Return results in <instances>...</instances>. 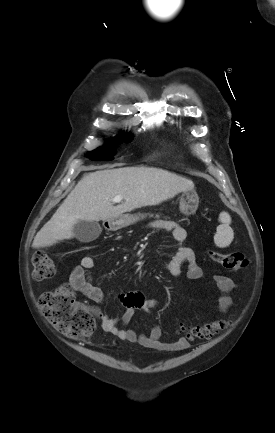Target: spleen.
Instances as JSON below:
<instances>
[{
    "instance_id": "1",
    "label": "spleen",
    "mask_w": 275,
    "mask_h": 433,
    "mask_svg": "<svg viewBox=\"0 0 275 433\" xmlns=\"http://www.w3.org/2000/svg\"><path fill=\"white\" fill-rule=\"evenodd\" d=\"M216 234L214 235V243L217 247L225 248L229 246L234 238V233L230 227L231 217L227 212H221Z\"/></svg>"
}]
</instances>
